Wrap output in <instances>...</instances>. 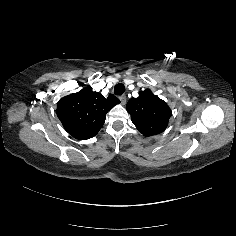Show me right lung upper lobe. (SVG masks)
I'll return each mask as SVG.
<instances>
[{"label":"right lung upper lobe","mask_w":236,"mask_h":236,"mask_svg":"<svg viewBox=\"0 0 236 236\" xmlns=\"http://www.w3.org/2000/svg\"><path fill=\"white\" fill-rule=\"evenodd\" d=\"M118 103L120 100L114 95L105 98L86 87L60 99L56 113L71 136L86 140L98 133L105 122L106 113Z\"/></svg>","instance_id":"right-lung-upper-lobe-1"}]
</instances>
